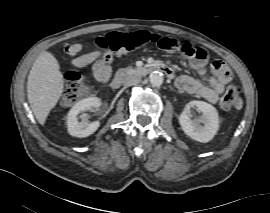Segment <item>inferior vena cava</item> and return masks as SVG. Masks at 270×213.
I'll return each mask as SVG.
<instances>
[{"label": "inferior vena cava", "instance_id": "1", "mask_svg": "<svg viewBox=\"0 0 270 213\" xmlns=\"http://www.w3.org/2000/svg\"><path fill=\"white\" fill-rule=\"evenodd\" d=\"M140 81H141V78L138 76H127L123 79L122 84L125 87H129V86L140 83Z\"/></svg>", "mask_w": 270, "mask_h": 213}]
</instances>
